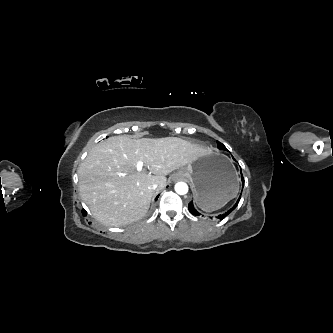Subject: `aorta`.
Masks as SVG:
<instances>
[{
    "label": "aorta",
    "instance_id": "762f6f07",
    "mask_svg": "<svg viewBox=\"0 0 333 333\" xmlns=\"http://www.w3.org/2000/svg\"><path fill=\"white\" fill-rule=\"evenodd\" d=\"M175 191L179 195H185L188 192V185L184 182H178L175 185Z\"/></svg>",
    "mask_w": 333,
    "mask_h": 333
}]
</instances>
